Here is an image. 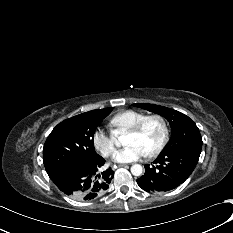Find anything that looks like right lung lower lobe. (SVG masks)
I'll use <instances>...</instances> for the list:
<instances>
[{"mask_svg":"<svg viewBox=\"0 0 233 233\" xmlns=\"http://www.w3.org/2000/svg\"><path fill=\"white\" fill-rule=\"evenodd\" d=\"M105 159L99 156L90 162H78L64 169L52 180L66 195L77 200H91L108 189L113 178L111 168L102 170Z\"/></svg>","mask_w":233,"mask_h":233,"instance_id":"right-lung-lower-lobe-1","label":"right lung lower lobe"}]
</instances>
